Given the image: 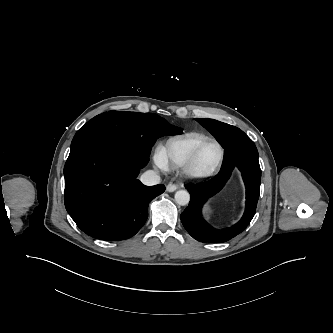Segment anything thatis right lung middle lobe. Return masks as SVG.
Wrapping results in <instances>:
<instances>
[{
  "label": "right lung middle lobe",
  "instance_id": "obj_1",
  "mask_svg": "<svg viewBox=\"0 0 333 333\" xmlns=\"http://www.w3.org/2000/svg\"><path fill=\"white\" fill-rule=\"evenodd\" d=\"M179 132L181 129L174 128L153 113L109 111L97 115L80 128L71 144L88 136H99L149 158L157 138Z\"/></svg>",
  "mask_w": 333,
  "mask_h": 333
}]
</instances>
